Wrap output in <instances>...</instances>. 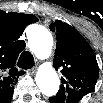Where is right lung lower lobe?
Listing matches in <instances>:
<instances>
[{
    "instance_id": "98d812e1",
    "label": "right lung lower lobe",
    "mask_w": 103,
    "mask_h": 103,
    "mask_svg": "<svg viewBox=\"0 0 103 103\" xmlns=\"http://www.w3.org/2000/svg\"><path fill=\"white\" fill-rule=\"evenodd\" d=\"M12 97V94H10L6 99H5V102H8Z\"/></svg>"
}]
</instances>
